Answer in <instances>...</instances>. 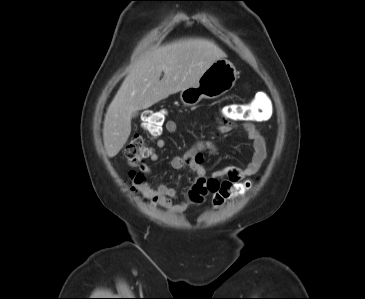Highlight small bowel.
I'll use <instances>...</instances> for the list:
<instances>
[{
	"mask_svg": "<svg viewBox=\"0 0 365 299\" xmlns=\"http://www.w3.org/2000/svg\"><path fill=\"white\" fill-rule=\"evenodd\" d=\"M261 118L254 120H246L241 123L242 129L246 132L247 139L252 142L253 154L250 161L245 167H230L213 173L210 177L207 176L205 167L203 166L204 151L210 153L215 152L214 145L209 141L199 142L195 147L186 152L183 155L176 156L172 160V166L175 169L188 168L196 173L198 180L195 185L203 184L206 182H238L246 177L256 175L266 159L267 151L264 138L260 134L257 128V122ZM177 123L174 120H167L164 124V129L168 133H174L177 130ZM235 127V124L231 121H220L217 126L219 134H226ZM156 146L158 148H164L166 143L165 140L159 135H156L155 139ZM151 161H158L159 155L156 152L149 154ZM140 170L143 173H151L152 168L146 164L140 165ZM143 193L154 203L171 212H182L185 209V204H173L172 199L177 195L174 188L166 185L159 184L155 188L151 187L146 183L140 185Z\"/></svg>",
	"mask_w": 365,
	"mask_h": 299,
	"instance_id": "small-bowel-1",
	"label": "small bowel"
}]
</instances>
